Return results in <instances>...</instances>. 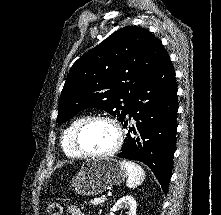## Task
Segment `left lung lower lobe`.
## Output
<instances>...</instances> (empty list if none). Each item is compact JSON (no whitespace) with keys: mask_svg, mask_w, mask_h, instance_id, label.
<instances>
[{"mask_svg":"<svg viewBox=\"0 0 221 215\" xmlns=\"http://www.w3.org/2000/svg\"><path fill=\"white\" fill-rule=\"evenodd\" d=\"M178 111L175 71L169 56L141 85L127 114L136 121L118 157L141 161L168 191L176 146ZM125 126L127 122L123 121Z\"/></svg>","mask_w":221,"mask_h":215,"instance_id":"0a47b994","label":"left lung lower lobe"}]
</instances>
